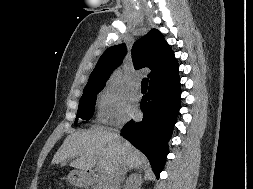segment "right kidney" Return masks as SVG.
Returning a JSON list of instances; mask_svg holds the SVG:
<instances>
[{
	"label": "right kidney",
	"mask_w": 253,
	"mask_h": 189,
	"mask_svg": "<svg viewBox=\"0 0 253 189\" xmlns=\"http://www.w3.org/2000/svg\"><path fill=\"white\" fill-rule=\"evenodd\" d=\"M133 178L130 179L128 182H127V189H140L138 188V186L140 185V182H141V176L140 175H137V174H134L132 175Z\"/></svg>",
	"instance_id": "ca27d5eb"
}]
</instances>
